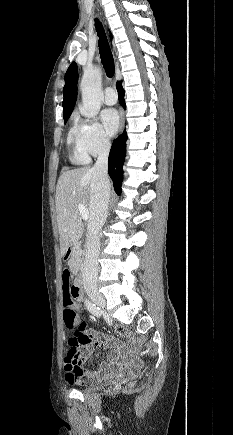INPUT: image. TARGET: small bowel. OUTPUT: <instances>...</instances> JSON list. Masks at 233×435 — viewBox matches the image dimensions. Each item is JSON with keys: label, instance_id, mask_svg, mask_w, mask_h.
<instances>
[{"label": "small bowel", "instance_id": "obj_1", "mask_svg": "<svg viewBox=\"0 0 233 435\" xmlns=\"http://www.w3.org/2000/svg\"><path fill=\"white\" fill-rule=\"evenodd\" d=\"M61 287L63 293L72 295V285L70 282L65 284L62 281ZM75 334L83 338L82 342H80L78 346L83 359L91 355L92 346L95 345L108 350L110 363L98 371H88L84 368L83 362L74 364L67 362L66 359H64L62 369L65 381H75L79 385H92L103 378V375L108 372H117L120 377L127 379L136 377L142 371L144 365L140 360L131 359L128 364L119 363L120 359L139 350V344L136 341H132L127 347L128 350L124 351L122 345L113 340L110 336L98 334L96 332H90L88 329V324L85 321H80L78 330Z\"/></svg>", "mask_w": 233, "mask_h": 435}]
</instances>
